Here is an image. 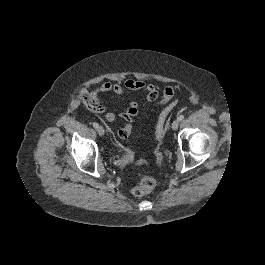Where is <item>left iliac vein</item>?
I'll return each instance as SVG.
<instances>
[{"instance_id": "left-iliac-vein-1", "label": "left iliac vein", "mask_w": 265, "mask_h": 265, "mask_svg": "<svg viewBox=\"0 0 265 265\" xmlns=\"http://www.w3.org/2000/svg\"><path fill=\"white\" fill-rule=\"evenodd\" d=\"M179 127V120H174L173 123H172V129L173 130H177Z\"/></svg>"}]
</instances>
